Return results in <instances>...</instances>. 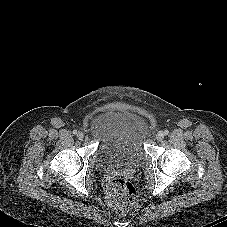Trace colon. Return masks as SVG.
<instances>
[{"label": "colon", "mask_w": 227, "mask_h": 227, "mask_svg": "<svg viewBox=\"0 0 227 227\" xmlns=\"http://www.w3.org/2000/svg\"><path fill=\"white\" fill-rule=\"evenodd\" d=\"M107 205L117 214L126 215L136 206V190L124 177H112L105 186Z\"/></svg>", "instance_id": "1"}]
</instances>
